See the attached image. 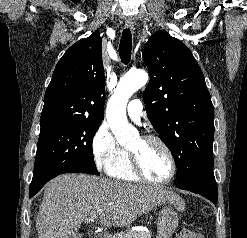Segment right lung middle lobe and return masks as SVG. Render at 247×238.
<instances>
[{
    "label": "right lung middle lobe",
    "mask_w": 247,
    "mask_h": 238,
    "mask_svg": "<svg viewBox=\"0 0 247 238\" xmlns=\"http://www.w3.org/2000/svg\"><path fill=\"white\" fill-rule=\"evenodd\" d=\"M100 121L58 123L41 127L30 188L62 173L98 175L92 140Z\"/></svg>",
    "instance_id": "right-lung-middle-lobe-1"
}]
</instances>
